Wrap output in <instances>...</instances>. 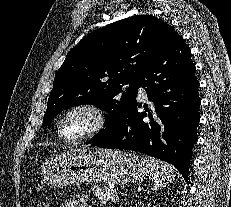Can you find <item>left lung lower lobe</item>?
Wrapping results in <instances>:
<instances>
[{"label": "left lung lower lobe", "instance_id": "left-lung-lower-lobe-1", "mask_svg": "<svg viewBox=\"0 0 231 207\" xmlns=\"http://www.w3.org/2000/svg\"><path fill=\"white\" fill-rule=\"evenodd\" d=\"M139 87L145 88L153 107L138 112L141 104L133 103L118 129L91 140V145L146 153L173 164L187 181L200 99L191 51L181 37L146 65Z\"/></svg>", "mask_w": 231, "mask_h": 207}]
</instances>
